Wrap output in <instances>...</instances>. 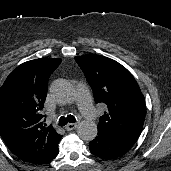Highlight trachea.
Returning <instances> with one entry per match:
<instances>
[{
    "instance_id": "1",
    "label": "trachea",
    "mask_w": 171,
    "mask_h": 171,
    "mask_svg": "<svg viewBox=\"0 0 171 171\" xmlns=\"http://www.w3.org/2000/svg\"><path fill=\"white\" fill-rule=\"evenodd\" d=\"M74 123L76 122V118L73 115H67L66 117L61 116L58 122L59 126H65L67 123Z\"/></svg>"
}]
</instances>
